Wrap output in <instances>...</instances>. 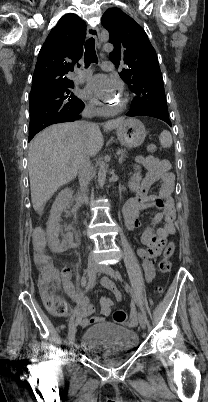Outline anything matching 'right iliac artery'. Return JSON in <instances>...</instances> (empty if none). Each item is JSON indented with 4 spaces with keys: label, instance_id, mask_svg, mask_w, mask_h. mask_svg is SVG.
Returning <instances> with one entry per match:
<instances>
[{
    "label": "right iliac artery",
    "instance_id": "82829eb1",
    "mask_svg": "<svg viewBox=\"0 0 208 402\" xmlns=\"http://www.w3.org/2000/svg\"><path fill=\"white\" fill-rule=\"evenodd\" d=\"M95 280H96V274L93 276L92 279H90V280L88 281L87 286H86V288H85V292H87L88 290H90V289L94 286ZM77 308H78V305H77V307L75 308V310H76ZM74 320H75V314L72 315L71 318H70V321H69V324H68L69 330H70L71 326L74 324Z\"/></svg>",
    "mask_w": 208,
    "mask_h": 402
}]
</instances>
